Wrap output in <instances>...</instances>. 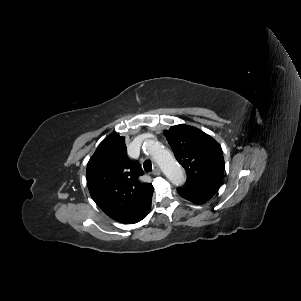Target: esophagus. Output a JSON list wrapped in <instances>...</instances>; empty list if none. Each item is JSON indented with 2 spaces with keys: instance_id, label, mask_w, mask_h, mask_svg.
I'll list each match as a JSON object with an SVG mask.
<instances>
[{
  "instance_id": "34e87169",
  "label": "esophagus",
  "mask_w": 301,
  "mask_h": 301,
  "mask_svg": "<svg viewBox=\"0 0 301 301\" xmlns=\"http://www.w3.org/2000/svg\"><path fill=\"white\" fill-rule=\"evenodd\" d=\"M154 175H160L161 174V169L158 165H154V170H153Z\"/></svg>"
}]
</instances>
